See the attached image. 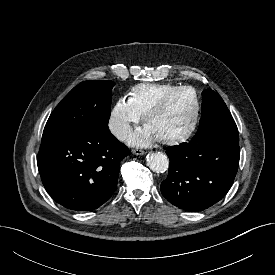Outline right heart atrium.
I'll list each match as a JSON object with an SVG mask.
<instances>
[{
	"label": "right heart atrium",
	"instance_id": "d8ad5b80",
	"mask_svg": "<svg viewBox=\"0 0 275 275\" xmlns=\"http://www.w3.org/2000/svg\"><path fill=\"white\" fill-rule=\"evenodd\" d=\"M141 117L129 99L121 97L111 110L109 118L110 131L116 138L123 140L130 133L132 126L141 120Z\"/></svg>",
	"mask_w": 275,
	"mask_h": 275
}]
</instances>
